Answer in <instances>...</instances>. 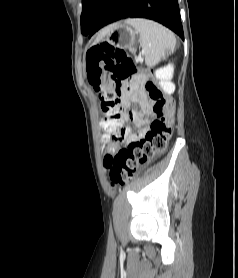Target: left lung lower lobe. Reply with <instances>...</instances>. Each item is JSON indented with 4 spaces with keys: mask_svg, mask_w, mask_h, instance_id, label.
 <instances>
[{
    "mask_svg": "<svg viewBox=\"0 0 238 278\" xmlns=\"http://www.w3.org/2000/svg\"><path fill=\"white\" fill-rule=\"evenodd\" d=\"M125 18L155 20L184 39L177 0H109L108 7L96 18L88 34L92 36L100 28Z\"/></svg>",
    "mask_w": 238,
    "mask_h": 278,
    "instance_id": "1",
    "label": "left lung lower lobe"
}]
</instances>
